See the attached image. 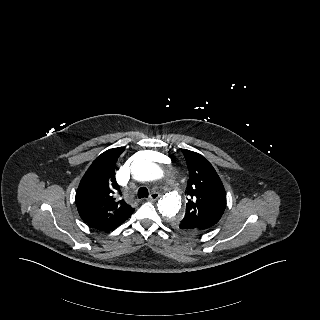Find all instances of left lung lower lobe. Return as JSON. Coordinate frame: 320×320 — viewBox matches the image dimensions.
Returning a JSON list of instances; mask_svg holds the SVG:
<instances>
[{"label": "left lung lower lobe", "mask_w": 320, "mask_h": 320, "mask_svg": "<svg viewBox=\"0 0 320 320\" xmlns=\"http://www.w3.org/2000/svg\"><path fill=\"white\" fill-rule=\"evenodd\" d=\"M177 228L180 229V230H183L185 232L193 233V234H196V233L200 232V231L192 228L191 225H189L187 223H180V224H178Z\"/></svg>", "instance_id": "left-lung-lower-lobe-1"}]
</instances>
